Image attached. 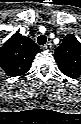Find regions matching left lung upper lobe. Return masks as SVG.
<instances>
[{
  "label": "left lung upper lobe",
  "instance_id": "1",
  "mask_svg": "<svg viewBox=\"0 0 81 124\" xmlns=\"http://www.w3.org/2000/svg\"><path fill=\"white\" fill-rule=\"evenodd\" d=\"M54 57L63 74L73 79L81 77V42L74 35L64 37Z\"/></svg>",
  "mask_w": 81,
  "mask_h": 124
}]
</instances>
